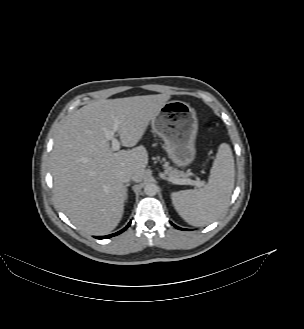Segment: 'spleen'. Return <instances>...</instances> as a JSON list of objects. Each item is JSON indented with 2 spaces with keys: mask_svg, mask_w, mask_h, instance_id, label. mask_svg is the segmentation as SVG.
I'll return each instance as SVG.
<instances>
[{
  "mask_svg": "<svg viewBox=\"0 0 304 329\" xmlns=\"http://www.w3.org/2000/svg\"><path fill=\"white\" fill-rule=\"evenodd\" d=\"M235 181L234 158L228 144L219 146L208 183L199 190L173 192L171 200L178 214L192 226L216 220L227 208Z\"/></svg>",
  "mask_w": 304,
  "mask_h": 329,
  "instance_id": "obj_1",
  "label": "spleen"
}]
</instances>
